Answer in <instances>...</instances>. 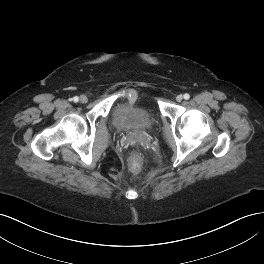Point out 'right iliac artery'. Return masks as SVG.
Wrapping results in <instances>:
<instances>
[{"instance_id": "obj_1", "label": "right iliac artery", "mask_w": 264, "mask_h": 264, "mask_svg": "<svg viewBox=\"0 0 264 264\" xmlns=\"http://www.w3.org/2000/svg\"><path fill=\"white\" fill-rule=\"evenodd\" d=\"M74 102H78L79 98L77 96L73 97L72 99Z\"/></svg>"}]
</instances>
